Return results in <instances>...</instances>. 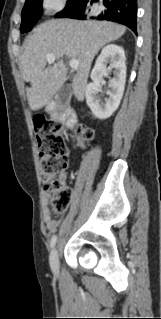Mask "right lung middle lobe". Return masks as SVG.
Returning a JSON list of instances; mask_svg holds the SVG:
<instances>
[{
  "label": "right lung middle lobe",
  "instance_id": "obj_1",
  "mask_svg": "<svg viewBox=\"0 0 161 319\" xmlns=\"http://www.w3.org/2000/svg\"><path fill=\"white\" fill-rule=\"evenodd\" d=\"M43 0H26L22 10V23L20 26L21 33L28 32L33 28V25L38 21L42 13ZM80 0H67V5L64 10L56 15L61 17L67 13Z\"/></svg>",
  "mask_w": 161,
  "mask_h": 319
}]
</instances>
